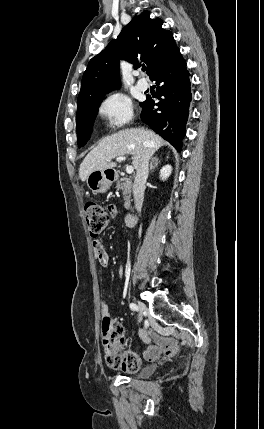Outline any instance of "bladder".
I'll use <instances>...</instances> for the list:
<instances>
[{"mask_svg": "<svg viewBox=\"0 0 264 429\" xmlns=\"http://www.w3.org/2000/svg\"><path fill=\"white\" fill-rule=\"evenodd\" d=\"M155 370H156L155 366H147L141 370V372L139 373V377L141 378L149 377L155 372Z\"/></svg>", "mask_w": 264, "mask_h": 429, "instance_id": "obj_1", "label": "bladder"}]
</instances>
